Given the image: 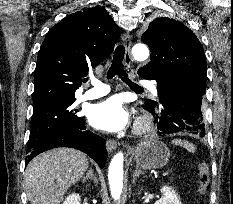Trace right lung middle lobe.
<instances>
[{
    "label": "right lung middle lobe",
    "instance_id": "1",
    "mask_svg": "<svg viewBox=\"0 0 233 204\" xmlns=\"http://www.w3.org/2000/svg\"><path fill=\"white\" fill-rule=\"evenodd\" d=\"M75 100V97H63L33 103L31 132L27 143L29 149L50 136L80 123L82 118L76 115L78 110L71 107Z\"/></svg>",
    "mask_w": 233,
    "mask_h": 204
}]
</instances>
